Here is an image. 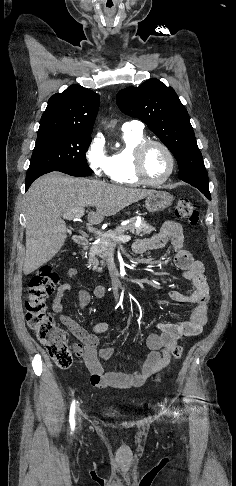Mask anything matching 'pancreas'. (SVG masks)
<instances>
[{"label": "pancreas", "mask_w": 236, "mask_h": 486, "mask_svg": "<svg viewBox=\"0 0 236 486\" xmlns=\"http://www.w3.org/2000/svg\"><path fill=\"white\" fill-rule=\"evenodd\" d=\"M154 230L155 228L147 224L144 220H141L140 225L137 227L136 219H132L131 223L126 226H118L114 230L107 231L101 236L100 241L91 245L88 253V268L98 272L102 271V267H99V263L101 266L105 265L109 248L115 247L117 243L112 239V236H120L123 235L124 232H131L136 236L142 237L150 234ZM97 257H100L102 260L99 262Z\"/></svg>", "instance_id": "obj_1"}]
</instances>
